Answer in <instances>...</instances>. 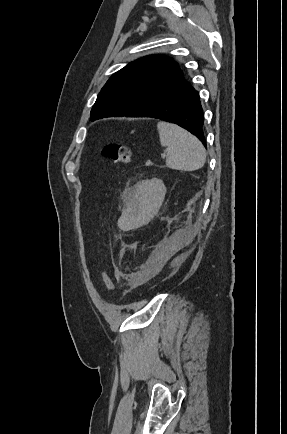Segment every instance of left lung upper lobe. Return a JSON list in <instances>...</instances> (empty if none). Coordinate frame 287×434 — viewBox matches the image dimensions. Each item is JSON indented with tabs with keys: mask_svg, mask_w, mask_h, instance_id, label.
Masks as SVG:
<instances>
[{
	"mask_svg": "<svg viewBox=\"0 0 287 434\" xmlns=\"http://www.w3.org/2000/svg\"><path fill=\"white\" fill-rule=\"evenodd\" d=\"M185 82L172 59L154 55L129 63L113 74L91 110L92 120L104 117H133Z\"/></svg>",
	"mask_w": 287,
	"mask_h": 434,
	"instance_id": "1",
	"label": "left lung upper lobe"
}]
</instances>
